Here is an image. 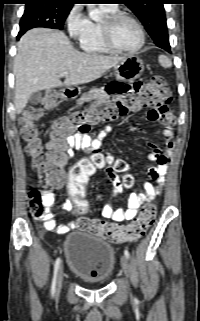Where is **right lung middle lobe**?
<instances>
[{
	"label": "right lung middle lobe",
	"instance_id": "obj_1",
	"mask_svg": "<svg viewBox=\"0 0 200 321\" xmlns=\"http://www.w3.org/2000/svg\"><path fill=\"white\" fill-rule=\"evenodd\" d=\"M71 8L55 5L51 2L27 3L21 17L18 38L27 30L35 27L62 30Z\"/></svg>",
	"mask_w": 200,
	"mask_h": 321
}]
</instances>
